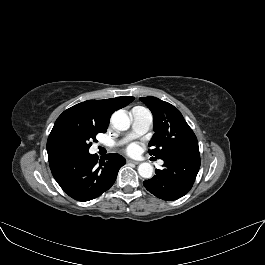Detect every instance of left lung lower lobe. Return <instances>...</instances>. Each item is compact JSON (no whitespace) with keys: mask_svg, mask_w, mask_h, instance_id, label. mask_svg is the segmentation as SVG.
<instances>
[{"mask_svg":"<svg viewBox=\"0 0 265 265\" xmlns=\"http://www.w3.org/2000/svg\"><path fill=\"white\" fill-rule=\"evenodd\" d=\"M163 169L143 182L145 188L163 200H176L192 188L200 168V153H174L163 158Z\"/></svg>","mask_w":265,"mask_h":265,"instance_id":"left-lung-lower-lobe-1","label":"left lung lower lobe"}]
</instances>
